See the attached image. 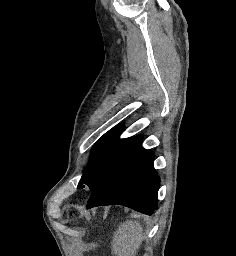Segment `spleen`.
<instances>
[{"label": "spleen", "mask_w": 236, "mask_h": 256, "mask_svg": "<svg viewBox=\"0 0 236 256\" xmlns=\"http://www.w3.org/2000/svg\"><path fill=\"white\" fill-rule=\"evenodd\" d=\"M143 240V228L136 220H127L113 234L111 252L113 256H136Z\"/></svg>", "instance_id": "3e777b00"}]
</instances>
